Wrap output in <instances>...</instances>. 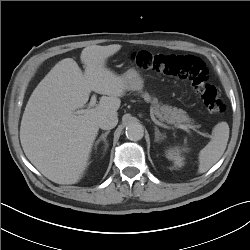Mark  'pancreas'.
<instances>
[{
    "instance_id": "pancreas-1",
    "label": "pancreas",
    "mask_w": 250,
    "mask_h": 250,
    "mask_svg": "<svg viewBox=\"0 0 250 250\" xmlns=\"http://www.w3.org/2000/svg\"><path fill=\"white\" fill-rule=\"evenodd\" d=\"M142 96L145 101L152 103L151 113L159 118V120L174 124L191 122V119L184 110L168 105H160L158 100L155 98L152 100L148 93H144ZM187 126L189 128H194V126L190 124H187Z\"/></svg>"
}]
</instances>
